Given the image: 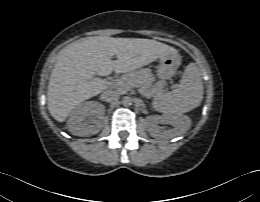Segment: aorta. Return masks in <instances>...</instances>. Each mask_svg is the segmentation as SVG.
Listing matches in <instances>:
<instances>
[{"mask_svg": "<svg viewBox=\"0 0 260 202\" xmlns=\"http://www.w3.org/2000/svg\"><path fill=\"white\" fill-rule=\"evenodd\" d=\"M122 104L126 107L132 104V98L130 96H125L122 98Z\"/></svg>", "mask_w": 260, "mask_h": 202, "instance_id": "762f6f07", "label": "aorta"}]
</instances>
